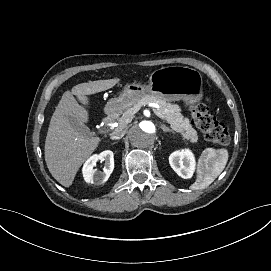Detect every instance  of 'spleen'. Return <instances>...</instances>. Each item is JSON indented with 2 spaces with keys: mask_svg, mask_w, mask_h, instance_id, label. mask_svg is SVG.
<instances>
[{
  "mask_svg": "<svg viewBox=\"0 0 271 271\" xmlns=\"http://www.w3.org/2000/svg\"><path fill=\"white\" fill-rule=\"evenodd\" d=\"M229 158L227 148L207 149L197 162L196 181L189 187L196 191L207 188L222 173Z\"/></svg>",
  "mask_w": 271,
  "mask_h": 271,
  "instance_id": "3e777b00",
  "label": "spleen"
}]
</instances>
